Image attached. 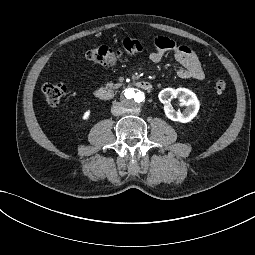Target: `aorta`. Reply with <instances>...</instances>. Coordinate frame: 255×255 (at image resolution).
I'll return each instance as SVG.
<instances>
[{
  "instance_id": "aorta-1",
  "label": "aorta",
  "mask_w": 255,
  "mask_h": 255,
  "mask_svg": "<svg viewBox=\"0 0 255 255\" xmlns=\"http://www.w3.org/2000/svg\"><path fill=\"white\" fill-rule=\"evenodd\" d=\"M123 98L125 103L129 107H133V108L141 107L145 101L144 93L138 90L137 88H133V87L125 90L123 94Z\"/></svg>"
}]
</instances>
